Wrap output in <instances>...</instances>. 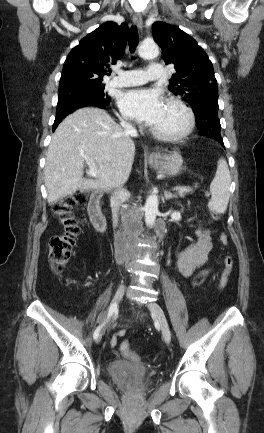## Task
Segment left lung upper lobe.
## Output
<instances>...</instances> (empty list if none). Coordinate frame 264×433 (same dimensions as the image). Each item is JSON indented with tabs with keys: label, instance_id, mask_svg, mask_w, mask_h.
I'll return each instance as SVG.
<instances>
[{
	"label": "left lung upper lobe",
	"instance_id": "5c2ea615",
	"mask_svg": "<svg viewBox=\"0 0 264 433\" xmlns=\"http://www.w3.org/2000/svg\"><path fill=\"white\" fill-rule=\"evenodd\" d=\"M153 37L161 47L165 63L174 64L176 70L168 89L190 103L194 113L203 109L218 111V86L213 66L197 42L177 26L165 22L153 24ZM217 133L221 137L220 131Z\"/></svg>",
	"mask_w": 264,
	"mask_h": 433
}]
</instances>
